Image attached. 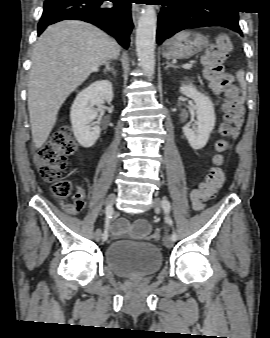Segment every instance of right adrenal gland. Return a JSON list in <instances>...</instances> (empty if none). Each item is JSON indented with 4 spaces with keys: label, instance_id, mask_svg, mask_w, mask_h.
Returning <instances> with one entry per match:
<instances>
[{
    "label": "right adrenal gland",
    "instance_id": "1",
    "mask_svg": "<svg viewBox=\"0 0 270 338\" xmlns=\"http://www.w3.org/2000/svg\"><path fill=\"white\" fill-rule=\"evenodd\" d=\"M111 72L114 76L116 75V72L114 70V67L111 66L108 62L105 64L104 73Z\"/></svg>",
    "mask_w": 270,
    "mask_h": 338
}]
</instances>
